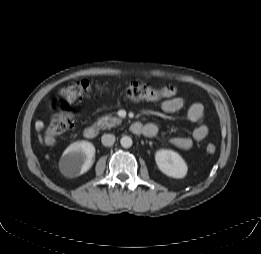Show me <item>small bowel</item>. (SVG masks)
I'll use <instances>...</instances> for the list:
<instances>
[{
	"mask_svg": "<svg viewBox=\"0 0 261 254\" xmlns=\"http://www.w3.org/2000/svg\"><path fill=\"white\" fill-rule=\"evenodd\" d=\"M184 107L182 97H174L165 100L162 103V109L167 113H174ZM204 106L201 103H193L187 110V118L190 122L196 124L190 136H176L172 138V143L180 149H190L194 142L202 141L208 135V127L204 123ZM143 126V125H142ZM146 137H154L158 133V127L155 124L148 123L143 126Z\"/></svg>",
	"mask_w": 261,
	"mask_h": 254,
	"instance_id": "obj_1",
	"label": "small bowel"
}]
</instances>
